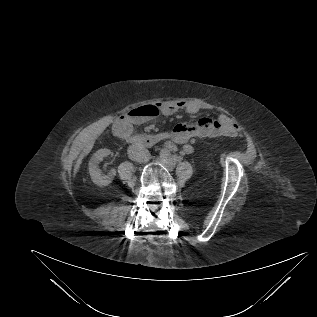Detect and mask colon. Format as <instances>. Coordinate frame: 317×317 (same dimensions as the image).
<instances>
[{
    "instance_id": "colon-1",
    "label": "colon",
    "mask_w": 317,
    "mask_h": 317,
    "mask_svg": "<svg viewBox=\"0 0 317 317\" xmlns=\"http://www.w3.org/2000/svg\"><path fill=\"white\" fill-rule=\"evenodd\" d=\"M160 113V108L155 104H147L139 106L129 112L133 120H143L148 118L157 117Z\"/></svg>"
}]
</instances>
